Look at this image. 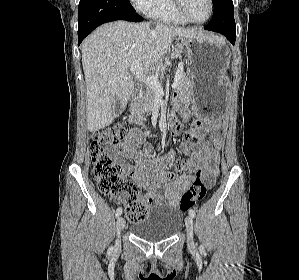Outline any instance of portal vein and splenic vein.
<instances>
[{
  "mask_svg": "<svg viewBox=\"0 0 299 280\" xmlns=\"http://www.w3.org/2000/svg\"><path fill=\"white\" fill-rule=\"evenodd\" d=\"M183 66H179L174 81L172 83V88H175L179 85V82L181 80L182 74H183ZM130 71L134 73L138 78L143 80L149 87H151L156 94L163 95V87L161 83L159 82L158 78L153 75H148L144 68L141 67V61L137 60L132 63L130 66Z\"/></svg>",
  "mask_w": 299,
  "mask_h": 280,
  "instance_id": "portal-vein-and-splenic-vein-1",
  "label": "portal vein and splenic vein"
}]
</instances>
